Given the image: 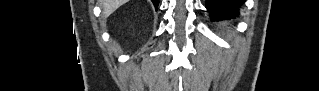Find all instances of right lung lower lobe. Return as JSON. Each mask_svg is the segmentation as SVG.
Returning <instances> with one entry per match:
<instances>
[{
    "instance_id": "98d812e1",
    "label": "right lung lower lobe",
    "mask_w": 319,
    "mask_h": 91,
    "mask_svg": "<svg viewBox=\"0 0 319 91\" xmlns=\"http://www.w3.org/2000/svg\"><path fill=\"white\" fill-rule=\"evenodd\" d=\"M155 9L157 10L158 9V5H159V1L158 0H151Z\"/></svg>"
}]
</instances>
